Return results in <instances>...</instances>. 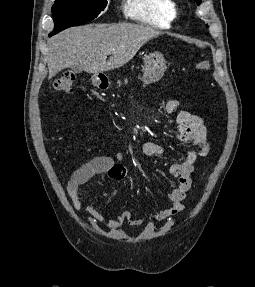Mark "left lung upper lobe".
I'll list each match as a JSON object with an SVG mask.
<instances>
[{
  "label": "left lung upper lobe",
  "instance_id": "1",
  "mask_svg": "<svg viewBox=\"0 0 255 287\" xmlns=\"http://www.w3.org/2000/svg\"><path fill=\"white\" fill-rule=\"evenodd\" d=\"M198 5H200V3H201V1L202 0H194ZM206 26H208V25H206Z\"/></svg>",
  "mask_w": 255,
  "mask_h": 287
}]
</instances>
